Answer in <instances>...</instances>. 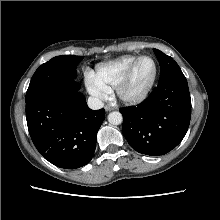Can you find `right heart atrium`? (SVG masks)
I'll use <instances>...</instances> for the list:
<instances>
[{
  "label": "right heart atrium",
  "instance_id": "right-heart-atrium-1",
  "mask_svg": "<svg viewBox=\"0 0 220 220\" xmlns=\"http://www.w3.org/2000/svg\"><path fill=\"white\" fill-rule=\"evenodd\" d=\"M86 85L89 93L99 100L106 99L109 90L102 85L93 75L87 74Z\"/></svg>",
  "mask_w": 220,
  "mask_h": 220
}]
</instances>
